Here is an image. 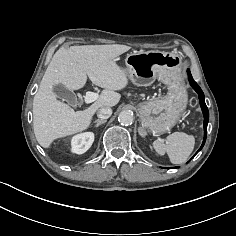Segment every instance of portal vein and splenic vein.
I'll list each match as a JSON object with an SVG mask.
<instances>
[{"instance_id":"portal-vein-and-splenic-vein-1","label":"portal vein and splenic vein","mask_w":236,"mask_h":236,"mask_svg":"<svg viewBox=\"0 0 236 236\" xmlns=\"http://www.w3.org/2000/svg\"><path fill=\"white\" fill-rule=\"evenodd\" d=\"M97 98H98V94L97 93L88 91V92H86V96L84 98V101H85L86 104H89V103H92L95 100H97Z\"/></svg>"}]
</instances>
